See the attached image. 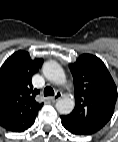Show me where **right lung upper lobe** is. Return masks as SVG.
Wrapping results in <instances>:
<instances>
[{"label": "right lung upper lobe", "instance_id": "obj_1", "mask_svg": "<svg viewBox=\"0 0 118 142\" xmlns=\"http://www.w3.org/2000/svg\"><path fill=\"white\" fill-rule=\"evenodd\" d=\"M43 59L31 60L28 52L12 54L0 68V126L8 131L23 132L31 127L43 103L35 96L31 79Z\"/></svg>", "mask_w": 118, "mask_h": 142}]
</instances>
